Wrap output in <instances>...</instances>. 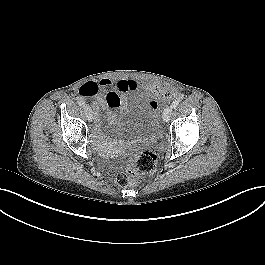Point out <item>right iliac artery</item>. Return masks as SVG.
I'll return each instance as SVG.
<instances>
[{"instance_id": "82829eb1", "label": "right iliac artery", "mask_w": 265, "mask_h": 265, "mask_svg": "<svg viewBox=\"0 0 265 265\" xmlns=\"http://www.w3.org/2000/svg\"><path fill=\"white\" fill-rule=\"evenodd\" d=\"M77 103H78L80 106L85 107V101H84V100L79 99V100L77 101Z\"/></svg>"}]
</instances>
